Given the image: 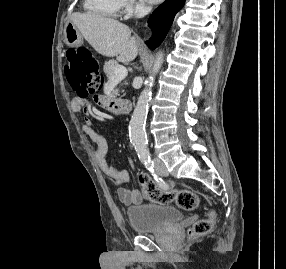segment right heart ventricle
Wrapping results in <instances>:
<instances>
[{"label":"right heart ventricle","instance_id":"right-heart-ventricle-1","mask_svg":"<svg viewBox=\"0 0 286 269\" xmlns=\"http://www.w3.org/2000/svg\"><path fill=\"white\" fill-rule=\"evenodd\" d=\"M84 10L96 17L114 19L124 7V0H84Z\"/></svg>","mask_w":286,"mask_h":269}]
</instances>
